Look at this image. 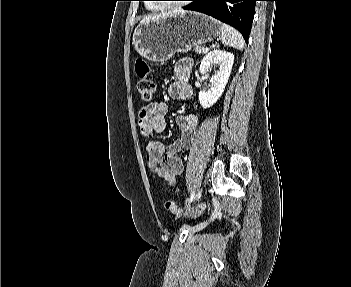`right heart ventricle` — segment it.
Wrapping results in <instances>:
<instances>
[{"label":"right heart ventricle","mask_w":351,"mask_h":287,"mask_svg":"<svg viewBox=\"0 0 351 287\" xmlns=\"http://www.w3.org/2000/svg\"><path fill=\"white\" fill-rule=\"evenodd\" d=\"M147 7L149 10L154 11V12L161 11L160 7L153 5V4H147Z\"/></svg>","instance_id":"right-heart-ventricle-1"}]
</instances>
